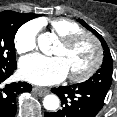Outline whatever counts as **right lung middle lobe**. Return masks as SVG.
Returning a JSON list of instances; mask_svg holds the SVG:
<instances>
[{
  "label": "right lung middle lobe",
  "instance_id": "1",
  "mask_svg": "<svg viewBox=\"0 0 117 117\" xmlns=\"http://www.w3.org/2000/svg\"><path fill=\"white\" fill-rule=\"evenodd\" d=\"M27 21V14L9 10L0 12V69L16 64L14 37L18 28Z\"/></svg>",
  "mask_w": 117,
  "mask_h": 117
}]
</instances>
